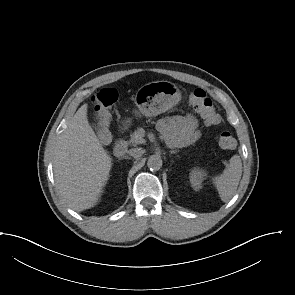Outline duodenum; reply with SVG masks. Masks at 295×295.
<instances>
[{
  "mask_svg": "<svg viewBox=\"0 0 295 295\" xmlns=\"http://www.w3.org/2000/svg\"><path fill=\"white\" fill-rule=\"evenodd\" d=\"M127 152V144L123 138H119L114 145V154L117 157H124Z\"/></svg>",
  "mask_w": 295,
  "mask_h": 295,
  "instance_id": "duodenum-1",
  "label": "duodenum"
}]
</instances>
